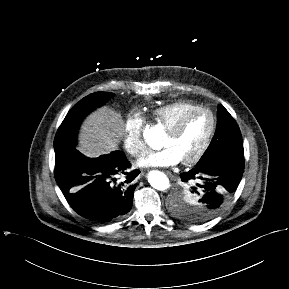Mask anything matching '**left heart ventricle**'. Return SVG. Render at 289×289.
Listing matches in <instances>:
<instances>
[{"label":"left heart ventricle","mask_w":289,"mask_h":289,"mask_svg":"<svg viewBox=\"0 0 289 289\" xmlns=\"http://www.w3.org/2000/svg\"><path fill=\"white\" fill-rule=\"evenodd\" d=\"M211 117L207 113L193 115L178 135L166 132L162 146L172 148L181 160L191 157L203 144L211 129Z\"/></svg>","instance_id":"obj_1"}]
</instances>
